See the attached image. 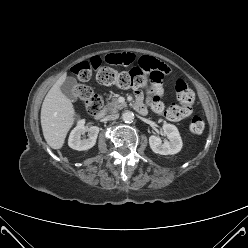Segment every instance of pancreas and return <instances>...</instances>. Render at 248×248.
I'll return each mask as SVG.
<instances>
[{"mask_svg":"<svg viewBox=\"0 0 248 248\" xmlns=\"http://www.w3.org/2000/svg\"><path fill=\"white\" fill-rule=\"evenodd\" d=\"M126 104H121L118 102L117 99L113 98L110 102H107V104L104 107L105 112H118L121 108L125 107Z\"/></svg>","mask_w":248,"mask_h":248,"instance_id":"cf45deb5","label":"pancreas"}]
</instances>
